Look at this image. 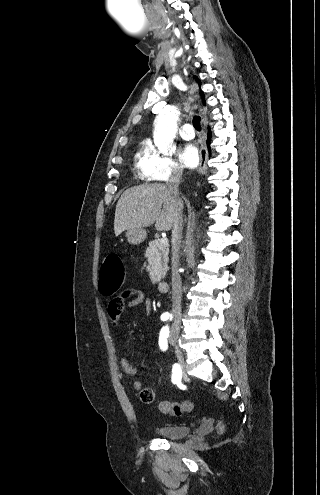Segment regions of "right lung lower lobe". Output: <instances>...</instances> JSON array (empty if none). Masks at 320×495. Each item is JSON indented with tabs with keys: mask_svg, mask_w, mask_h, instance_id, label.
Here are the masks:
<instances>
[{
	"mask_svg": "<svg viewBox=\"0 0 320 495\" xmlns=\"http://www.w3.org/2000/svg\"><path fill=\"white\" fill-rule=\"evenodd\" d=\"M210 140H211V131L209 129L208 131V135H207V146H208V150H209V155L211 154V150H210Z\"/></svg>",
	"mask_w": 320,
	"mask_h": 495,
	"instance_id": "98d812e1",
	"label": "right lung lower lobe"
}]
</instances>
